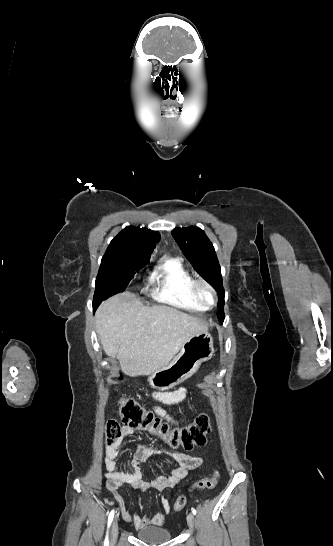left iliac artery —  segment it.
<instances>
[{"mask_svg": "<svg viewBox=\"0 0 333 546\" xmlns=\"http://www.w3.org/2000/svg\"><path fill=\"white\" fill-rule=\"evenodd\" d=\"M192 513L195 515L196 514V509L195 508H192Z\"/></svg>", "mask_w": 333, "mask_h": 546, "instance_id": "1", "label": "left iliac artery"}]
</instances>
